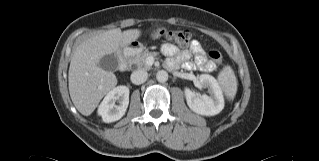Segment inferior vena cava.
I'll return each instance as SVG.
<instances>
[{
	"label": "inferior vena cava",
	"instance_id": "1",
	"mask_svg": "<svg viewBox=\"0 0 319 161\" xmlns=\"http://www.w3.org/2000/svg\"><path fill=\"white\" fill-rule=\"evenodd\" d=\"M148 78V73L145 70H136L131 74V82L136 85L144 83Z\"/></svg>",
	"mask_w": 319,
	"mask_h": 161
}]
</instances>
